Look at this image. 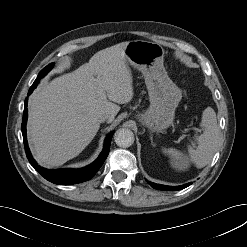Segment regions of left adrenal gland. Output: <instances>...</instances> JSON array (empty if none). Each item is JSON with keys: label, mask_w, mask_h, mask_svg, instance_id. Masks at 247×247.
<instances>
[{"label": "left adrenal gland", "mask_w": 247, "mask_h": 247, "mask_svg": "<svg viewBox=\"0 0 247 247\" xmlns=\"http://www.w3.org/2000/svg\"><path fill=\"white\" fill-rule=\"evenodd\" d=\"M150 140H151V144H152L153 146H155V143L153 142V135H152V134L150 135Z\"/></svg>", "instance_id": "obj_1"}]
</instances>
